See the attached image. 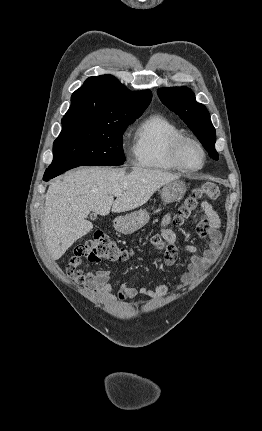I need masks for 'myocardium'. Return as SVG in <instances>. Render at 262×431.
<instances>
[{"label":"myocardium","instance_id":"obj_1","mask_svg":"<svg viewBox=\"0 0 262 431\" xmlns=\"http://www.w3.org/2000/svg\"><path fill=\"white\" fill-rule=\"evenodd\" d=\"M187 145H193L200 152L201 157H202V162L198 167L190 168L184 163L183 158H182V153H183L184 148ZM171 159L180 170H182L188 174H194V173L200 171L204 167L205 161H206V151H205L204 147L201 145V143L199 141H197L196 139L191 138V137H187V136H182L180 138H177L172 143Z\"/></svg>","mask_w":262,"mask_h":431}]
</instances>
